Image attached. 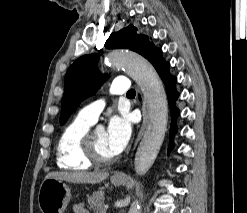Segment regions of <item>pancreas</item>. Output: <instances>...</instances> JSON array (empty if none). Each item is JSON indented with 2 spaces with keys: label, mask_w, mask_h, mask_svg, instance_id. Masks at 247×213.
<instances>
[{
  "label": "pancreas",
  "mask_w": 247,
  "mask_h": 213,
  "mask_svg": "<svg viewBox=\"0 0 247 213\" xmlns=\"http://www.w3.org/2000/svg\"><path fill=\"white\" fill-rule=\"evenodd\" d=\"M90 210H94L96 213H102L104 206V192H94L92 195L87 197Z\"/></svg>",
  "instance_id": "obj_1"
}]
</instances>
